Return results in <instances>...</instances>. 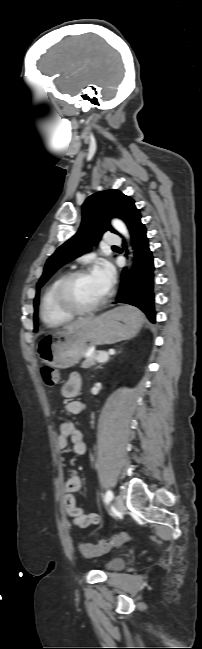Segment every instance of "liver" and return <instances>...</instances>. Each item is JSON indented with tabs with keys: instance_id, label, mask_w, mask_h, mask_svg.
Returning <instances> with one entry per match:
<instances>
[{
	"instance_id": "6515ba94",
	"label": "liver",
	"mask_w": 202,
	"mask_h": 649,
	"mask_svg": "<svg viewBox=\"0 0 202 649\" xmlns=\"http://www.w3.org/2000/svg\"><path fill=\"white\" fill-rule=\"evenodd\" d=\"M91 318H79L76 321L69 323L63 327V329H73V328H78L84 324H86Z\"/></svg>"
}]
</instances>
